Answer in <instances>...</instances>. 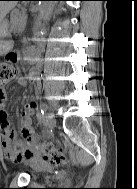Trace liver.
Masks as SVG:
<instances>
[{
	"label": "liver",
	"mask_w": 137,
	"mask_h": 189,
	"mask_svg": "<svg viewBox=\"0 0 137 189\" xmlns=\"http://www.w3.org/2000/svg\"><path fill=\"white\" fill-rule=\"evenodd\" d=\"M16 4L17 1H0V25H2L5 16L16 6Z\"/></svg>",
	"instance_id": "obj_1"
}]
</instances>
